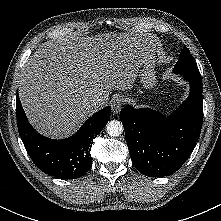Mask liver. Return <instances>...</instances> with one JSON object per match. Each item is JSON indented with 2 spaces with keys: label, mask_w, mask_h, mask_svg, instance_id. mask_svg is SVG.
Returning a JSON list of instances; mask_svg holds the SVG:
<instances>
[{
  "label": "liver",
  "mask_w": 221,
  "mask_h": 221,
  "mask_svg": "<svg viewBox=\"0 0 221 221\" xmlns=\"http://www.w3.org/2000/svg\"><path fill=\"white\" fill-rule=\"evenodd\" d=\"M155 61V45L146 36L106 33L61 37L39 46L21 71L19 97L30 123L43 135L73 134L111 90L131 89L144 62Z\"/></svg>",
  "instance_id": "1"
}]
</instances>
